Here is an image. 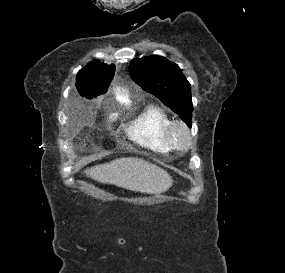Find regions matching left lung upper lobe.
<instances>
[{
    "instance_id": "left-lung-upper-lobe-1",
    "label": "left lung upper lobe",
    "mask_w": 285,
    "mask_h": 273,
    "mask_svg": "<svg viewBox=\"0 0 285 273\" xmlns=\"http://www.w3.org/2000/svg\"><path fill=\"white\" fill-rule=\"evenodd\" d=\"M129 70L137 84L158 97L191 126V86L174 63L164 57L151 55L132 60Z\"/></svg>"
}]
</instances>
